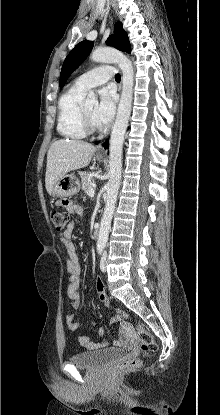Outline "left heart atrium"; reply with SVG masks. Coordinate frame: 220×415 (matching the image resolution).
<instances>
[{"instance_id":"obj_1","label":"left heart atrium","mask_w":220,"mask_h":415,"mask_svg":"<svg viewBox=\"0 0 220 415\" xmlns=\"http://www.w3.org/2000/svg\"><path fill=\"white\" fill-rule=\"evenodd\" d=\"M116 96L111 88H103L100 91V99L93 112V118L97 125H103L111 121L115 113Z\"/></svg>"}]
</instances>
